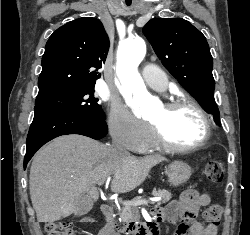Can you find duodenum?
I'll return each instance as SVG.
<instances>
[{
  "mask_svg": "<svg viewBox=\"0 0 250 235\" xmlns=\"http://www.w3.org/2000/svg\"><path fill=\"white\" fill-rule=\"evenodd\" d=\"M101 211L104 216L105 225L100 230L99 235H157L158 217H154L147 222L144 227L128 226L124 230L121 229L120 223L115 219L113 210L108 205H101Z\"/></svg>",
  "mask_w": 250,
  "mask_h": 235,
  "instance_id": "duodenum-1",
  "label": "duodenum"
}]
</instances>
